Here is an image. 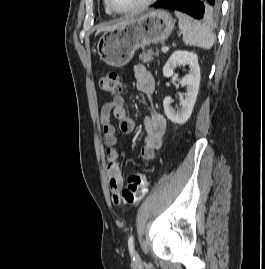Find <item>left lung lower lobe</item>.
<instances>
[{
  "label": "left lung lower lobe",
  "mask_w": 265,
  "mask_h": 269,
  "mask_svg": "<svg viewBox=\"0 0 265 269\" xmlns=\"http://www.w3.org/2000/svg\"><path fill=\"white\" fill-rule=\"evenodd\" d=\"M221 0H162L155 8L184 12L196 19L214 20L220 12Z\"/></svg>",
  "instance_id": "obj_1"
}]
</instances>
